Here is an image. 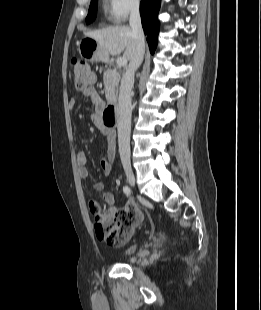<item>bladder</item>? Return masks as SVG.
<instances>
[{
    "label": "bladder",
    "instance_id": "31cf9c89",
    "mask_svg": "<svg viewBox=\"0 0 261 310\" xmlns=\"http://www.w3.org/2000/svg\"><path fill=\"white\" fill-rule=\"evenodd\" d=\"M138 249V245L137 244H131L129 246H127L126 248H124L120 255L124 258H129L131 257Z\"/></svg>",
    "mask_w": 261,
    "mask_h": 310
}]
</instances>
